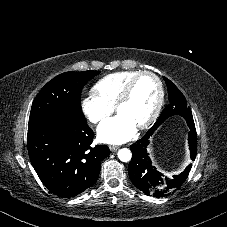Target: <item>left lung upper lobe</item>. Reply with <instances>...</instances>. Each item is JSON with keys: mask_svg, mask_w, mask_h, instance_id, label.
<instances>
[{"mask_svg": "<svg viewBox=\"0 0 227 227\" xmlns=\"http://www.w3.org/2000/svg\"><path fill=\"white\" fill-rule=\"evenodd\" d=\"M168 87L169 104L165 107L156 123L146 133L147 135L152 134L163 122L174 115L184 117L186 122L188 119H193L192 112L187 106L186 99L181 91L166 77H163Z\"/></svg>", "mask_w": 227, "mask_h": 227, "instance_id": "left-lung-upper-lobe-1", "label": "left lung upper lobe"}]
</instances>
